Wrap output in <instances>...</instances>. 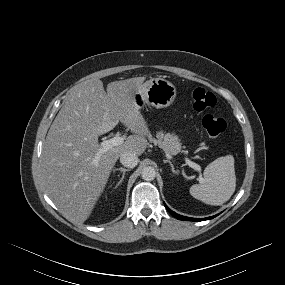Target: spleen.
I'll return each mask as SVG.
<instances>
[{"label": "spleen", "instance_id": "1", "mask_svg": "<svg viewBox=\"0 0 285 285\" xmlns=\"http://www.w3.org/2000/svg\"><path fill=\"white\" fill-rule=\"evenodd\" d=\"M204 182L190 188V194L202 202L219 206L228 201L236 188L234 157L227 155L211 162L204 170Z\"/></svg>", "mask_w": 285, "mask_h": 285}]
</instances>
